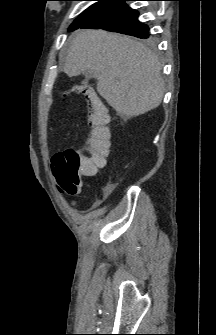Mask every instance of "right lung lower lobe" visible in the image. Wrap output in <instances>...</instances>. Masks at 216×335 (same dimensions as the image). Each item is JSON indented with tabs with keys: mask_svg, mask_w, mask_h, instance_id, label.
Here are the masks:
<instances>
[{
	"mask_svg": "<svg viewBox=\"0 0 216 335\" xmlns=\"http://www.w3.org/2000/svg\"><path fill=\"white\" fill-rule=\"evenodd\" d=\"M125 1L132 0H119L79 28H101L138 38H148V26L138 20V11L131 9Z\"/></svg>",
	"mask_w": 216,
	"mask_h": 335,
	"instance_id": "98d812e1",
	"label": "right lung lower lobe"
}]
</instances>
